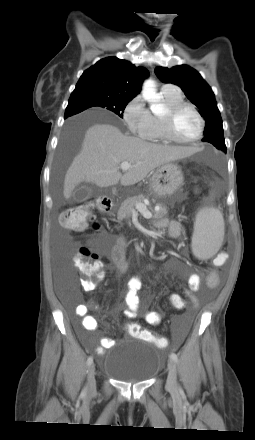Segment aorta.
<instances>
[{"label": "aorta", "mask_w": 255, "mask_h": 440, "mask_svg": "<svg viewBox=\"0 0 255 440\" xmlns=\"http://www.w3.org/2000/svg\"><path fill=\"white\" fill-rule=\"evenodd\" d=\"M143 98L151 104V111L154 114H159L162 111V105L159 104V97L156 93V84L153 80L148 79L144 82L142 87Z\"/></svg>", "instance_id": "1"}]
</instances>
